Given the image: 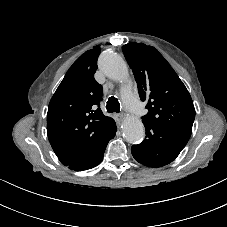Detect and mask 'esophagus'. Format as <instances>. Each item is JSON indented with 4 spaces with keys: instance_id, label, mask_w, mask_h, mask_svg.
<instances>
[{
    "instance_id": "obj_1",
    "label": "esophagus",
    "mask_w": 227,
    "mask_h": 227,
    "mask_svg": "<svg viewBox=\"0 0 227 227\" xmlns=\"http://www.w3.org/2000/svg\"><path fill=\"white\" fill-rule=\"evenodd\" d=\"M115 120L120 123L123 120V114H116L115 115Z\"/></svg>"
}]
</instances>
